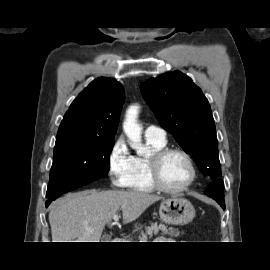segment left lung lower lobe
Instances as JSON below:
<instances>
[{
  "label": "left lung lower lobe",
  "mask_w": 270,
  "mask_h": 270,
  "mask_svg": "<svg viewBox=\"0 0 270 270\" xmlns=\"http://www.w3.org/2000/svg\"><path fill=\"white\" fill-rule=\"evenodd\" d=\"M224 184L221 180H217L210 184L208 190L205 192L209 197L215 199L220 206L225 209L224 195H223Z\"/></svg>",
  "instance_id": "obj_1"
}]
</instances>
